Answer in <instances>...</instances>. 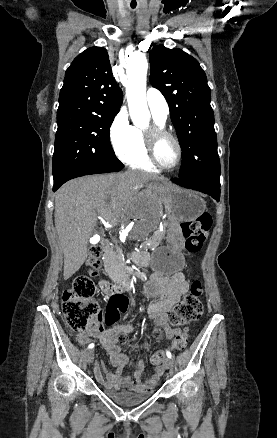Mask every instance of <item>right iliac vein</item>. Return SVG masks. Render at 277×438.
<instances>
[{
  "instance_id": "1",
  "label": "right iliac vein",
  "mask_w": 277,
  "mask_h": 438,
  "mask_svg": "<svg viewBox=\"0 0 277 438\" xmlns=\"http://www.w3.org/2000/svg\"><path fill=\"white\" fill-rule=\"evenodd\" d=\"M94 360V351L93 350H89L86 354V361L88 364H91Z\"/></svg>"
}]
</instances>
